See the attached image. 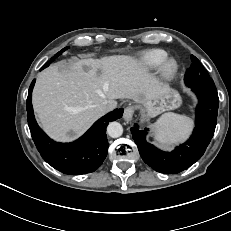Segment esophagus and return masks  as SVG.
<instances>
[{
	"label": "esophagus",
	"instance_id": "obj_1",
	"mask_svg": "<svg viewBox=\"0 0 231 231\" xmlns=\"http://www.w3.org/2000/svg\"><path fill=\"white\" fill-rule=\"evenodd\" d=\"M134 107L133 106H127L123 113V118L125 121H131L134 115Z\"/></svg>",
	"mask_w": 231,
	"mask_h": 231
}]
</instances>
